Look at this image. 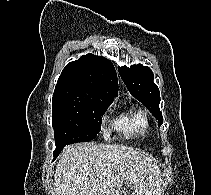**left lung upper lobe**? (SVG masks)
<instances>
[{
	"label": "left lung upper lobe",
	"mask_w": 211,
	"mask_h": 195,
	"mask_svg": "<svg viewBox=\"0 0 211 195\" xmlns=\"http://www.w3.org/2000/svg\"><path fill=\"white\" fill-rule=\"evenodd\" d=\"M118 70L131 95L144 104L161 125L163 117L159 109L160 92L153 82L152 70L140 64L130 68L119 67Z\"/></svg>",
	"instance_id": "obj_1"
}]
</instances>
